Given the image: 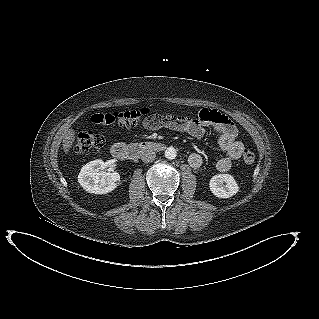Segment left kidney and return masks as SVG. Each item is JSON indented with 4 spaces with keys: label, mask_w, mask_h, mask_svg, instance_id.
Masks as SVG:
<instances>
[{
    "label": "left kidney",
    "mask_w": 319,
    "mask_h": 319,
    "mask_svg": "<svg viewBox=\"0 0 319 319\" xmlns=\"http://www.w3.org/2000/svg\"><path fill=\"white\" fill-rule=\"evenodd\" d=\"M211 192L218 198H229L235 195L239 187L232 175L218 174L209 182Z\"/></svg>",
    "instance_id": "5707ae66"
}]
</instances>
